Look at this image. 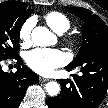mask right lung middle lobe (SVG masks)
<instances>
[{"instance_id": "obj_1", "label": "right lung middle lobe", "mask_w": 108, "mask_h": 108, "mask_svg": "<svg viewBox=\"0 0 108 108\" xmlns=\"http://www.w3.org/2000/svg\"><path fill=\"white\" fill-rule=\"evenodd\" d=\"M32 13L27 4L18 1L0 3V58L18 56L19 34L23 23Z\"/></svg>"}]
</instances>
